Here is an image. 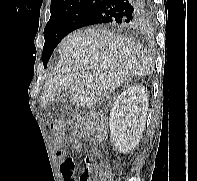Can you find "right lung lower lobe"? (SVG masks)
<instances>
[{"label":"right lung lower lobe","instance_id":"98d812e1","mask_svg":"<svg viewBox=\"0 0 197 181\" xmlns=\"http://www.w3.org/2000/svg\"><path fill=\"white\" fill-rule=\"evenodd\" d=\"M152 8V0H105L88 13L76 29L96 24L139 28L152 15Z\"/></svg>","mask_w":197,"mask_h":181}]
</instances>
